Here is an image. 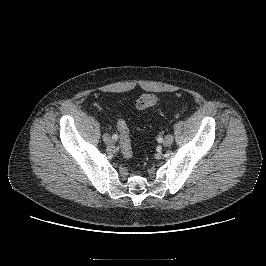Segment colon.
<instances>
[{
	"label": "colon",
	"instance_id": "5ec220e1",
	"mask_svg": "<svg viewBox=\"0 0 266 266\" xmlns=\"http://www.w3.org/2000/svg\"><path fill=\"white\" fill-rule=\"evenodd\" d=\"M156 101L157 99L153 94H143L136 100L135 106L140 110H144L153 107L156 104ZM117 129L120 134L121 153L124 158L129 159L133 156L129 127L124 120H119L117 123Z\"/></svg>",
	"mask_w": 266,
	"mask_h": 266
}]
</instances>
